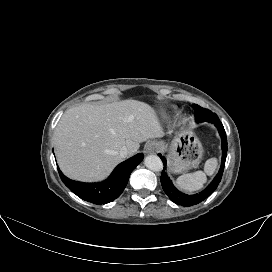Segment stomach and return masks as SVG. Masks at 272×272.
Segmentation results:
<instances>
[{
    "instance_id": "1",
    "label": "stomach",
    "mask_w": 272,
    "mask_h": 272,
    "mask_svg": "<svg viewBox=\"0 0 272 272\" xmlns=\"http://www.w3.org/2000/svg\"><path fill=\"white\" fill-rule=\"evenodd\" d=\"M160 149L168 151V165L172 173H181L196 167L203 156V147L197 136L190 130L176 134L168 146L159 142Z\"/></svg>"
}]
</instances>
